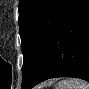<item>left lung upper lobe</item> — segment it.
<instances>
[{
	"instance_id": "1",
	"label": "left lung upper lobe",
	"mask_w": 89,
	"mask_h": 89,
	"mask_svg": "<svg viewBox=\"0 0 89 89\" xmlns=\"http://www.w3.org/2000/svg\"><path fill=\"white\" fill-rule=\"evenodd\" d=\"M71 2L72 0L19 1V32L24 57L22 89L34 78L50 47L53 33Z\"/></svg>"
}]
</instances>
